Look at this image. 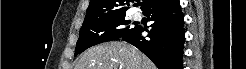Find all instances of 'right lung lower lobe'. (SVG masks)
Listing matches in <instances>:
<instances>
[{"instance_id":"right-lung-lower-lobe-1","label":"right lung lower lobe","mask_w":246,"mask_h":69,"mask_svg":"<svg viewBox=\"0 0 246 69\" xmlns=\"http://www.w3.org/2000/svg\"><path fill=\"white\" fill-rule=\"evenodd\" d=\"M150 29L137 25L120 39L134 45L147 55L159 69H183V14L178 0H162L143 11ZM148 35L143 37L141 33Z\"/></svg>"}]
</instances>
